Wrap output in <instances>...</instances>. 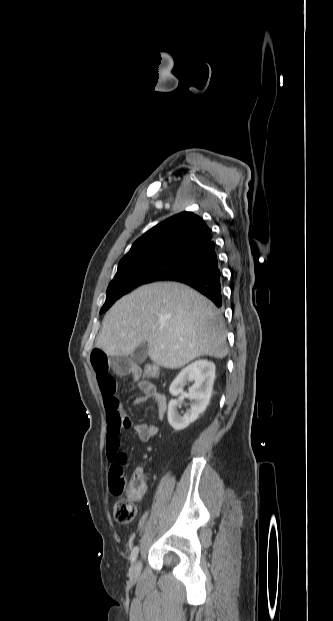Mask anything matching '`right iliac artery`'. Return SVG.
I'll return each instance as SVG.
<instances>
[{
  "label": "right iliac artery",
  "instance_id": "obj_1",
  "mask_svg": "<svg viewBox=\"0 0 333 621\" xmlns=\"http://www.w3.org/2000/svg\"><path fill=\"white\" fill-rule=\"evenodd\" d=\"M138 555V547L135 546L132 551H131V555H130V561L131 563H133L136 560V557Z\"/></svg>",
  "mask_w": 333,
  "mask_h": 621
}]
</instances>
